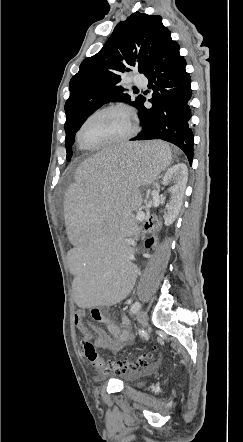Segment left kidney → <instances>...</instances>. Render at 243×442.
I'll return each instance as SVG.
<instances>
[{
  "label": "left kidney",
  "mask_w": 243,
  "mask_h": 442,
  "mask_svg": "<svg viewBox=\"0 0 243 442\" xmlns=\"http://www.w3.org/2000/svg\"><path fill=\"white\" fill-rule=\"evenodd\" d=\"M188 179V169L184 163H178L171 167L165 174L162 184L167 186L171 183V198L166 204L164 221L166 226H170L177 218L183 203L184 190Z\"/></svg>",
  "instance_id": "5707ae66"
}]
</instances>
